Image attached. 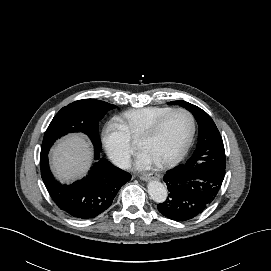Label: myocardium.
Returning a JSON list of instances; mask_svg holds the SVG:
<instances>
[{"label": "myocardium", "mask_w": 271, "mask_h": 271, "mask_svg": "<svg viewBox=\"0 0 271 271\" xmlns=\"http://www.w3.org/2000/svg\"><path fill=\"white\" fill-rule=\"evenodd\" d=\"M177 112H184L186 113L190 119H191V133L190 136L186 142V144L184 145V147L173 157H170L164 161L161 162H156V164L160 167H169V166H173L177 163H179L189 152L193 142H194V138H195V134H196V130H197V123H196V118L193 115V113L183 107H178V108H173L171 111L167 112L166 114H164L162 117H160L158 120H156L154 123H152L147 129H145L140 137H139V146L140 144L147 138L152 137L153 135H155L160 128L162 127V125L165 123V121L173 114L177 113ZM141 148V146H140Z\"/></svg>", "instance_id": "obj_1"}]
</instances>
